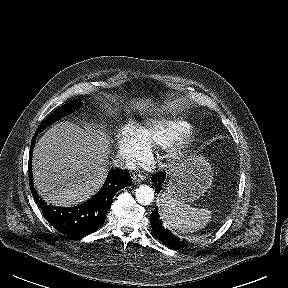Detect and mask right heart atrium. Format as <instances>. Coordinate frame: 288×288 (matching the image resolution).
<instances>
[{
    "mask_svg": "<svg viewBox=\"0 0 288 288\" xmlns=\"http://www.w3.org/2000/svg\"><path fill=\"white\" fill-rule=\"evenodd\" d=\"M117 149L130 166L145 163L149 156V147L142 139L140 130L133 125H127L119 131Z\"/></svg>",
    "mask_w": 288,
    "mask_h": 288,
    "instance_id": "d8ad5b80",
    "label": "right heart atrium"
}]
</instances>
